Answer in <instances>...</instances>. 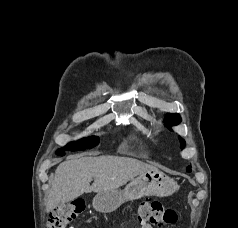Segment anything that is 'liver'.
I'll return each mask as SVG.
<instances>
[{"instance_id":"1","label":"liver","mask_w":238,"mask_h":228,"mask_svg":"<svg viewBox=\"0 0 238 228\" xmlns=\"http://www.w3.org/2000/svg\"><path fill=\"white\" fill-rule=\"evenodd\" d=\"M155 169L129 157H81L65 161L55 171L45 200L46 212L84 193L118 189L136 176ZM92 179L94 182L90 186Z\"/></svg>"}]
</instances>
